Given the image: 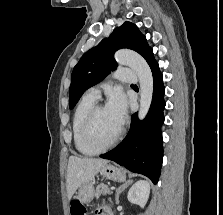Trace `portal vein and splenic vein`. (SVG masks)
Segmentation results:
<instances>
[{
    "instance_id": "obj_1",
    "label": "portal vein and splenic vein",
    "mask_w": 223,
    "mask_h": 215,
    "mask_svg": "<svg viewBox=\"0 0 223 215\" xmlns=\"http://www.w3.org/2000/svg\"><path fill=\"white\" fill-rule=\"evenodd\" d=\"M109 188L111 191H114V189H117V186L111 185Z\"/></svg>"
}]
</instances>
